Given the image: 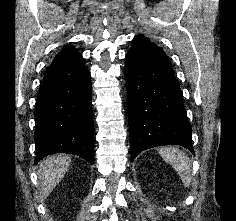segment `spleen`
Masks as SVG:
<instances>
[{"label": "spleen", "mask_w": 236, "mask_h": 221, "mask_svg": "<svg viewBox=\"0 0 236 221\" xmlns=\"http://www.w3.org/2000/svg\"><path fill=\"white\" fill-rule=\"evenodd\" d=\"M162 158L172 165L186 187L191 183V163L188 156L176 147H163L159 150Z\"/></svg>", "instance_id": "1"}]
</instances>
